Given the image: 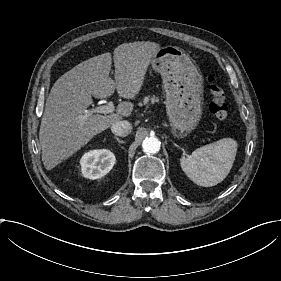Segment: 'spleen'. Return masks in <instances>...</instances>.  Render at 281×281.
Returning a JSON list of instances; mask_svg holds the SVG:
<instances>
[{"instance_id":"3e777b00","label":"spleen","mask_w":281,"mask_h":281,"mask_svg":"<svg viewBox=\"0 0 281 281\" xmlns=\"http://www.w3.org/2000/svg\"><path fill=\"white\" fill-rule=\"evenodd\" d=\"M239 144L233 138H223L204 145L181 160L186 175L204 187L221 183L233 168Z\"/></svg>"}]
</instances>
